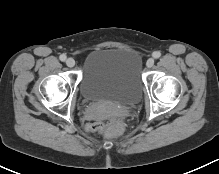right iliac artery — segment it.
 Returning a JSON list of instances; mask_svg holds the SVG:
<instances>
[{
  "label": "right iliac artery",
  "instance_id": "obj_1",
  "mask_svg": "<svg viewBox=\"0 0 219 174\" xmlns=\"http://www.w3.org/2000/svg\"><path fill=\"white\" fill-rule=\"evenodd\" d=\"M59 58H60L61 61H65L67 57H66L65 54H62V55H60Z\"/></svg>",
  "mask_w": 219,
  "mask_h": 174
}]
</instances>
